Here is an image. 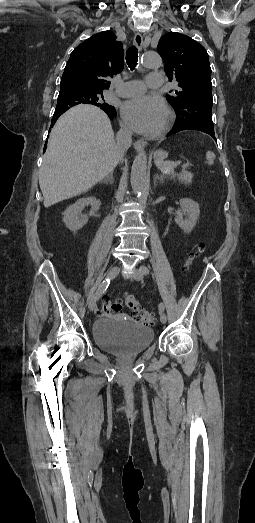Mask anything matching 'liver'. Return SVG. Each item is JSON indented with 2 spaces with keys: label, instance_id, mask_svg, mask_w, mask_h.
Listing matches in <instances>:
<instances>
[{
  "label": "liver",
  "instance_id": "6515ba94",
  "mask_svg": "<svg viewBox=\"0 0 255 523\" xmlns=\"http://www.w3.org/2000/svg\"><path fill=\"white\" fill-rule=\"evenodd\" d=\"M111 122L100 108L80 104L57 120L39 172L45 208L88 192L116 168Z\"/></svg>",
  "mask_w": 255,
  "mask_h": 523
}]
</instances>
